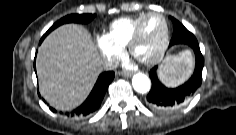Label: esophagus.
<instances>
[{"mask_svg":"<svg viewBox=\"0 0 236 135\" xmlns=\"http://www.w3.org/2000/svg\"><path fill=\"white\" fill-rule=\"evenodd\" d=\"M134 74V72L131 71H123L122 75L125 77H131Z\"/></svg>","mask_w":236,"mask_h":135,"instance_id":"34e87169","label":"esophagus"}]
</instances>
